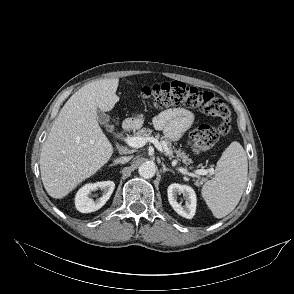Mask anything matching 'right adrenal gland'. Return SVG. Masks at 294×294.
<instances>
[{"label":"right adrenal gland","instance_id":"right-adrenal-gland-1","mask_svg":"<svg viewBox=\"0 0 294 294\" xmlns=\"http://www.w3.org/2000/svg\"><path fill=\"white\" fill-rule=\"evenodd\" d=\"M115 165H117V163H113V164H111L110 166H115Z\"/></svg>","mask_w":294,"mask_h":294}]
</instances>
